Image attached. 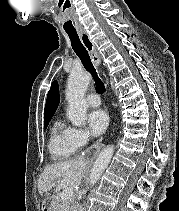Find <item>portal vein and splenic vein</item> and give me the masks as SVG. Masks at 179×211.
Masks as SVG:
<instances>
[{
    "label": "portal vein and splenic vein",
    "mask_w": 179,
    "mask_h": 211,
    "mask_svg": "<svg viewBox=\"0 0 179 211\" xmlns=\"http://www.w3.org/2000/svg\"><path fill=\"white\" fill-rule=\"evenodd\" d=\"M71 197H73V189L72 188H66L61 192L62 199H69Z\"/></svg>",
    "instance_id": "18ae733b"
}]
</instances>
